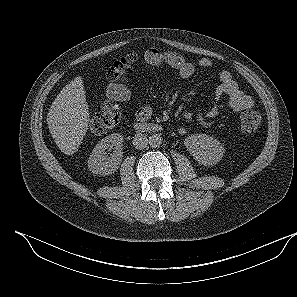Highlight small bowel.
Instances as JSON below:
<instances>
[{
    "instance_id": "c3829d8e",
    "label": "small bowel",
    "mask_w": 297,
    "mask_h": 297,
    "mask_svg": "<svg viewBox=\"0 0 297 297\" xmlns=\"http://www.w3.org/2000/svg\"><path fill=\"white\" fill-rule=\"evenodd\" d=\"M145 62L151 66L166 65L175 70L180 76L184 78L191 77L196 67L208 68L212 66V60L209 58H201L196 64L187 61L180 54L165 51L158 48L148 49L144 54ZM220 83L215 90L216 100H220L222 97H227L228 107L234 111H244L253 106V99L248 94H245L233 79L229 71H222L220 73ZM106 94L109 102L107 107L114 109L119 108V104L130 100L133 97V89L124 84H109L106 88ZM218 104L215 103L206 113L208 117H214L218 113ZM152 115V108L148 105L139 108L135 114L136 119L139 121H145ZM178 132L185 134L186 129L179 127Z\"/></svg>"
}]
</instances>
